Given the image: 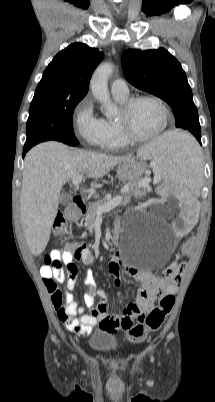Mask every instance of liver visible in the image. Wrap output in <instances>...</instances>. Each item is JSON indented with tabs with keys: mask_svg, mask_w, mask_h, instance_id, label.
I'll return each mask as SVG.
<instances>
[{
	"mask_svg": "<svg viewBox=\"0 0 215 402\" xmlns=\"http://www.w3.org/2000/svg\"><path fill=\"white\" fill-rule=\"evenodd\" d=\"M125 158L71 150L55 141L38 144L27 153L20 211L24 236L33 255H40L49 242L62 186L85 172L88 178H102ZM91 186L101 187L96 182Z\"/></svg>",
	"mask_w": 215,
	"mask_h": 402,
	"instance_id": "obj_1",
	"label": "liver"
}]
</instances>
